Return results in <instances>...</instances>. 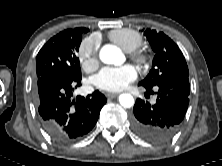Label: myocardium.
Wrapping results in <instances>:
<instances>
[{"mask_svg": "<svg viewBox=\"0 0 222 166\" xmlns=\"http://www.w3.org/2000/svg\"><path fill=\"white\" fill-rule=\"evenodd\" d=\"M130 58L140 66L146 65L148 61L146 54L141 50H135L130 52Z\"/></svg>", "mask_w": 222, "mask_h": 166, "instance_id": "1", "label": "myocardium"}]
</instances>
